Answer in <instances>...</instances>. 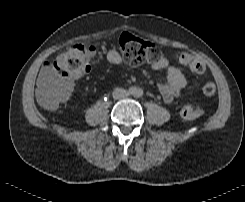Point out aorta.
Segmentation results:
<instances>
[{"label": "aorta", "mask_w": 245, "mask_h": 202, "mask_svg": "<svg viewBox=\"0 0 245 202\" xmlns=\"http://www.w3.org/2000/svg\"><path fill=\"white\" fill-rule=\"evenodd\" d=\"M139 93H140V89H136L134 92L135 95H139Z\"/></svg>", "instance_id": "762f6f07"}]
</instances>
